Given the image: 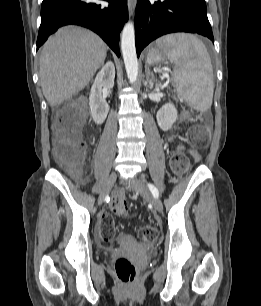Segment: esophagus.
Listing matches in <instances>:
<instances>
[{
  "label": "esophagus",
  "instance_id": "34e87169",
  "mask_svg": "<svg viewBox=\"0 0 261 306\" xmlns=\"http://www.w3.org/2000/svg\"><path fill=\"white\" fill-rule=\"evenodd\" d=\"M135 0H128V11L130 15H133L134 10H135Z\"/></svg>",
  "mask_w": 261,
  "mask_h": 306
}]
</instances>
